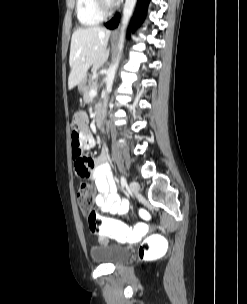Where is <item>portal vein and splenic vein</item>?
Masks as SVG:
<instances>
[{
  "instance_id": "1",
  "label": "portal vein and splenic vein",
  "mask_w": 247,
  "mask_h": 304,
  "mask_svg": "<svg viewBox=\"0 0 247 304\" xmlns=\"http://www.w3.org/2000/svg\"><path fill=\"white\" fill-rule=\"evenodd\" d=\"M96 95H97V91L96 90H94V89L90 90V92H89V96L90 97H94Z\"/></svg>"
}]
</instances>
